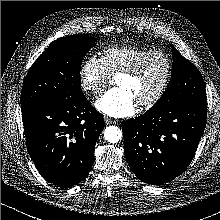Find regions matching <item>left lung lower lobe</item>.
<instances>
[{
	"mask_svg": "<svg viewBox=\"0 0 220 220\" xmlns=\"http://www.w3.org/2000/svg\"><path fill=\"white\" fill-rule=\"evenodd\" d=\"M207 97L186 100L123 122L125 155L137 178L162 185L189 165L204 132Z\"/></svg>",
	"mask_w": 220,
	"mask_h": 220,
	"instance_id": "left-lung-lower-lobe-1",
	"label": "left lung lower lobe"
}]
</instances>
